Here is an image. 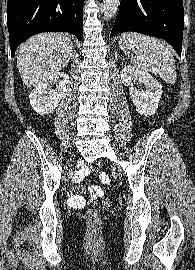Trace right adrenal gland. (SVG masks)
Instances as JSON below:
<instances>
[{"label": "right adrenal gland", "mask_w": 195, "mask_h": 270, "mask_svg": "<svg viewBox=\"0 0 195 270\" xmlns=\"http://www.w3.org/2000/svg\"><path fill=\"white\" fill-rule=\"evenodd\" d=\"M75 53H76V51H75V49H74V51H73V55H75Z\"/></svg>", "instance_id": "2a0ac1e0"}]
</instances>
